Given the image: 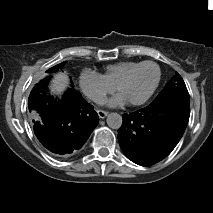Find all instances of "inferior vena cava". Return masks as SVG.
<instances>
[{
  "instance_id": "602c4592",
  "label": "inferior vena cava",
  "mask_w": 213,
  "mask_h": 213,
  "mask_svg": "<svg viewBox=\"0 0 213 213\" xmlns=\"http://www.w3.org/2000/svg\"><path fill=\"white\" fill-rule=\"evenodd\" d=\"M92 101L95 102L96 104H103L105 99L103 96L100 95H93L91 97Z\"/></svg>"
}]
</instances>
